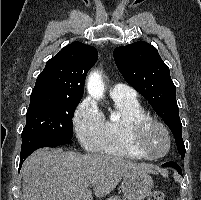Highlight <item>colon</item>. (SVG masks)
Segmentation results:
<instances>
[{"mask_svg": "<svg viewBox=\"0 0 201 200\" xmlns=\"http://www.w3.org/2000/svg\"><path fill=\"white\" fill-rule=\"evenodd\" d=\"M147 200H164V194L160 191H152Z\"/></svg>", "mask_w": 201, "mask_h": 200, "instance_id": "1", "label": "colon"}]
</instances>
